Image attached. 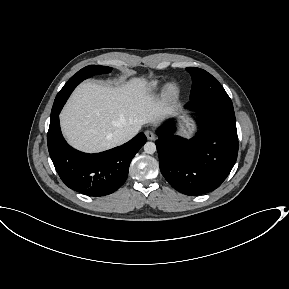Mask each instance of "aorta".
Wrapping results in <instances>:
<instances>
[{"instance_id": "aorta-1", "label": "aorta", "mask_w": 289, "mask_h": 289, "mask_svg": "<svg viewBox=\"0 0 289 289\" xmlns=\"http://www.w3.org/2000/svg\"><path fill=\"white\" fill-rule=\"evenodd\" d=\"M144 151L147 154H153L156 151V145L153 142H146L144 144Z\"/></svg>"}]
</instances>
